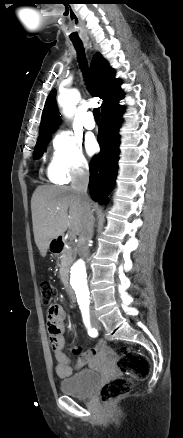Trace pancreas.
Wrapping results in <instances>:
<instances>
[{
  "label": "pancreas",
  "instance_id": "1",
  "mask_svg": "<svg viewBox=\"0 0 183 438\" xmlns=\"http://www.w3.org/2000/svg\"><path fill=\"white\" fill-rule=\"evenodd\" d=\"M75 256V250L72 248H65L62 251V256H61V272H64L73 262Z\"/></svg>",
  "mask_w": 183,
  "mask_h": 438
}]
</instances>
